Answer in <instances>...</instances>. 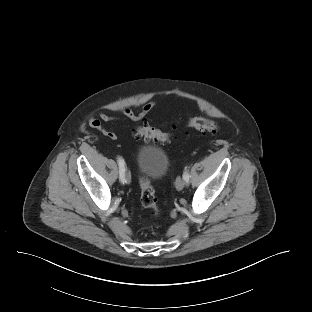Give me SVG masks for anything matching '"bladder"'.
I'll use <instances>...</instances> for the list:
<instances>
[{
  "instance_id": "1",
  "label": "bladder",
  "mask_w": 312,
  "mask_h": 312,
  "mask_svg": "<svg viewBox=\"0 0 312 312\" xmlns=\"http://www.w3.org/2000/svg\"><path fill=\"white\" fill-rule=\"evenodd\" d=\"M137 166L145 177L160 180L168 170L169 158L160 147L142 146L137 153Z\"/></svg>"
}]
</instances>
